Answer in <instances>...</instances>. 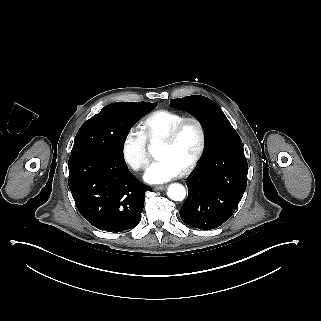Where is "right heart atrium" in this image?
Returning <instances> with one entry per match:
<instances>
[{
  "mask_svg": "<svg viewBox=\"0 0 321 321\" xmlns=\"http://www.w3.org/2000/svg\"><path fill=\"white\" fill-rule=\"evenodd\" d=\"M146 146V135L138 126L129 128L122 139V158L135 171L143 169L147 164Z\"/></svg>",
  "mask_w": 321,
  "mask_h": 321,
  "instance_id": "d8ad5b80",
  "label": "right heart atrium"
}]
</instances>
